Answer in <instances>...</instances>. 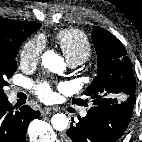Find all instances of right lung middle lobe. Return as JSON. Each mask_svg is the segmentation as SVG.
<instances>
[{
	"label": "right lung middle lobe",
	"mask_w": 142,
	"mask_h": 142,
	"mask_svg": "<svg viewBox=\"0 0 142 142\" xmlns=\"http://www.w3.org/2000/svg\"><path fill=\"white\" fill-rule=\"evenodd\" d=\"M21 35L0 45V99L6 98L3 88L8 85L7 79L11 78L17 68L16 55L22 42L29 36Z\"/></svg>",
	"instance_id": "1"
}]
</instances>
